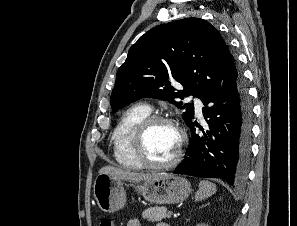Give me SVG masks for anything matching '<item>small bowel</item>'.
<instances>
[{
    "label": "small bowel",
    "instance_id": "c3829d8e",
    "mask_svg": "<svg viewBox=\"0 0 297 226\" xmlns=\"http://www.w3.org/2000/svg\"><path fill=\"white\" fill-rule=\"evenodd\" d=\"M126 226H141L140 220L138 218H132L127 222ZM157 226H166L165 224H158Z\"/></svg>",
    "mask_w": 297,
    "mask_h": 226
}]
</instances>
